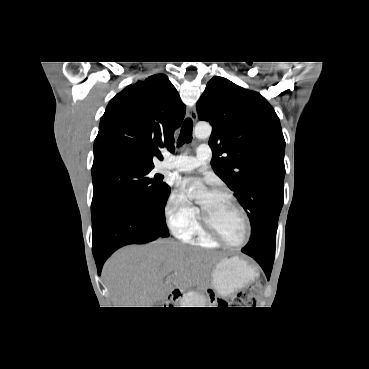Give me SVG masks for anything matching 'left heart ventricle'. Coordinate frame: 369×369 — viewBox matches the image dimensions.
<instances>
[{"mask_svg":"<svg viewBox=\"0 0 369 369\" xmlns=\"http://www.w3.org/2000/svg\"><path fill=\"white\" fill-rule=\"evenodd\" d=\"M199 207L223 238L233 243L244 239L245 222L241 212L231 200L207 193L200 198Z\"/></svg>","mask_w":369,"mask_h":369,"instance_id":"b2bd125f","label":"left heart ventricle"}]
</instances>
